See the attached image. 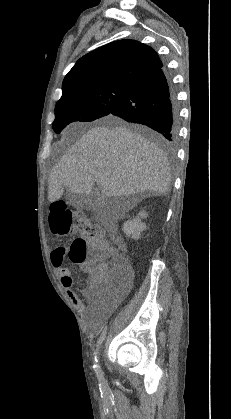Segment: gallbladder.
I'll return each instance as SVG.
<instances>
[{
	"label": "gallbladder",
	"instance_id": "1",
	"mask_svg": "<svg viewBox=\"0 0 231 419\" xmlns=\"http://www.w3.org/2000/svg\"><path fill=\"white\" fill-rule=\"evenodd\" d=\"M96 191L95 192H92L90 195H89V199L90 200H95V198H96ZM67 199L70 201V203H72L73 205H75V206H77V207H82V206H84L85 205V203H86V201H87V199H88V197L86 196V195H75V194H73V193H68L67 194Z\"/></svg>",
	"mask_w": 231,
	"mask_h": 419
}]
</instances>
